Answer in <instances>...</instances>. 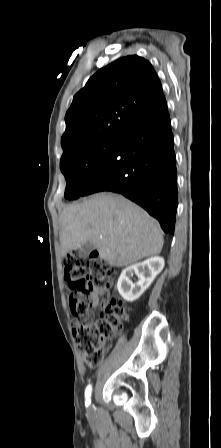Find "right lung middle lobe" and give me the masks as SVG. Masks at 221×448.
I'll list each match as a JSON object with an SVG mask.
<instances>
[{"label": "right lung middle lobe", "mask_w": 221, "mask_h": 448, "mask_svg": "<svg viewBox=\"0 0 221 448\" xmlns=\"http://www.w3.org/2000/svg\"><path fill=\"white\" fill-rule=\"evenodd\" d=\"M118 136L79 145L61 157L60 169L67 185L66 199H77L112 152Z\"/></svg>", "instance_id": "right-lung-middle-lobe-1"}]
</instances>
